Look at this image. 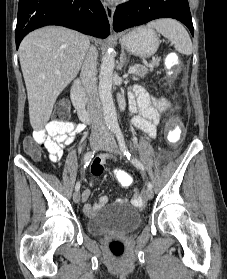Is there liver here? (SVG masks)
I'll return each instance as SVG.
<instances>
[{
  "label": "liver",
  "mask_w": 227,
  "mask_h": 279,
  "mask_svg": "<svg viewBox=\"0 0 227 279\" xmlns=\"http://www.w3.org/2000/svg\"><path fill=\"white\" fill-rule=\"evenodd\" d=\"M89 46V37L59 26L37 29L22 40L19 58L34 130L49 121L57 97L79 73Z\"/></svg>",
  "instance_id": "liver-1"
}]
</instances>
